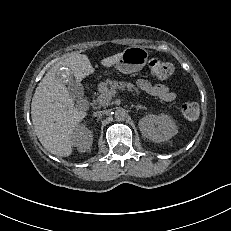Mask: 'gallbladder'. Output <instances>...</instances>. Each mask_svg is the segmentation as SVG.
Segmentation results:
<instances>
[{
	"label": "gallbladder",
	"instance_id": "bac80fb5",
	"mask_svg": "<svg viewBox=\"0 0 231 231\" xmlns=\"http://www.w3.org/2000/svg\"><path fill=\"white\" fill-rule=\"evenodd\" d=\"M56 80L65 88H68V92L71 97L80 99L83 97L84 92L81 84L77 80H73V74L66 66L60 67L55 72Z\"/></svg>",
	"mask_w": 231,
	"mask_h": 231
}]
</instances>
